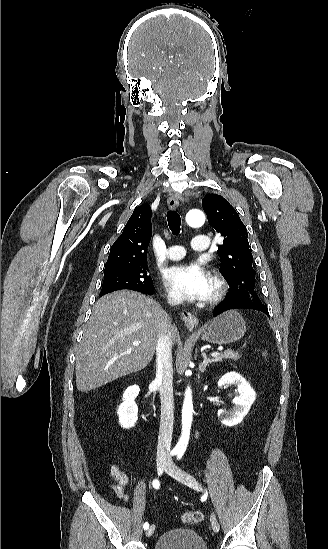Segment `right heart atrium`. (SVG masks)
Here are the masks:
<instances>
[{"instance_id": "right-heart-atrium-1", "label": "right heart atrium", "mask_w": 328, "mask_h": 549, "mask_svg": "<svg viewBox=\"0 0 328 549\" xmlns=\"http://www.w3.org/2000/svg\"><path fill=\"white\" fill-rule=\"evenodd\" d=\"M166 298L169 301V303H177V300L169 292L166 293Z\"/></svg>"}]
</instances>
